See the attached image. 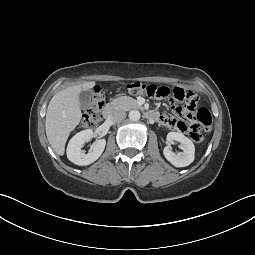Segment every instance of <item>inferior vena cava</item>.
Instances as JSON below:
<instances>
[{
  "label": "inferior vena cava",
  "mask_w": 255,
  "mask_h": 255,
  "mask_svg": "<svg viewBox=\"0 0 255 255\" xmlns=\"http://www.w3.org/2000/svg\"><path fill=\"white\" fill-rule=\"evenodd\" d=\"M108 118L111 122L117 123L126 118V113L121 110L114 111Z\"/></svg>",
  "instance_id": "obj_1"
}]
</instances>
